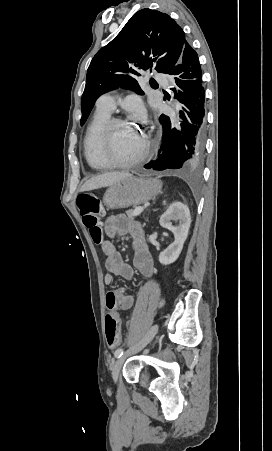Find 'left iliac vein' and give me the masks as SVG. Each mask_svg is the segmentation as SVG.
<instances>
[{"label": "left iliac vein", "instance_id": "1", "mask_svg": "<svg viewBox=\"0 0 272 451\" xmlns=\"http://www.w3.org/2000/svg\"><path fill=\"white\" fill-rule=\"evenodd\" d=\"M158 333V325L155 324L153 325L149 331L147 332V334L145 335V337L143 338V340L140 342V344L131 352L129 353H135L138 352L139 350H141L143 347H145L146 345H148L152 339L154 338V336ZM126 356H121L120 358H118L112 365L111 370H112V376L113 379L115 381H117L119 373L121 371L122 365L124 363Z\"/></svg>", "mask_w": 272, "mask_h": 451}]
</instances>
